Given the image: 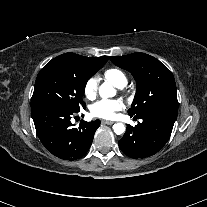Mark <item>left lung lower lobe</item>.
<instances>
[{
	"instance_id": "0a47b994",
	"label": "left lung lower lobe",
	"mask_w": 207,
	"mask_h": 207,
	"mask_svg": "<svg viewBox=\"0 0 207 207\" xmlns=\"http://www.w3.org/2000/svg\"><path fill=\"white\" fill-rule=\"evenodd\" d=\"M178 110L157 108L136 118L142 123L128 125L121 140L120 149L131 158H145L156 154L170 138ZM133 116V115H131Z\"/></svg>"
}]
</instances>
